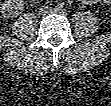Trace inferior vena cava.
Wrapping results in <instances>:
<instances>
[{
    "mask_svg": "<svg viewBox=\"0 0 111 106\" xmlns=\"http://www.w3.org/2000/svg\"><path fill=\"white\" fill-rule=\"evenodd\" d=\"M52 11L51 7H49L48 5H43L39 8V12L42 14V15H46L48 13H50Z\"/></svg>",
    "mask_w": 111,
    "mask_h": 106,
    "instance_id": "602c4592",
    "label": "inferior vena cava"
}]
</instances>
